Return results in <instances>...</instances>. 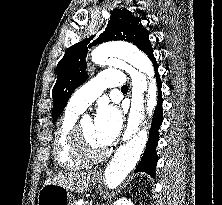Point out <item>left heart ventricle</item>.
<instances>
[{
  "label": "left heart ventricle",
  "instance_id": "left-heart-ventricle-1",
  "mask_svg": "<svg viewBox=\"0 0 222 205\" xmlns=\"http://www.w3.org/2000/svg\"><path fill=\"white\" fill-rule=\"evenodd\" d=\"M81 131L85 143L90 151L97 152L104 149V147L100 145L96 139L93 122L91 120H83L81 122Z\"/></svg>",
  "mask_w": 222,
  "mask_h": 205
}]
</instances>
